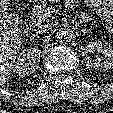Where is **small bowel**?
<instances>
[{"instance_id":"1","label":"small bowel","mask_w":113,"mask_h":113,"mask_svg":"<svg viewBox=\"0 0 113 113\" xmlns=\"http://www.w3.org/2000/svg\"><path fill=\"white\" fill-rule=\"evenodd\" d=\"M72 2H80L78 0H68ZM88 5L95 8L99 17L105 19L106 25L108 26L110 31H113V0H85ZM83 20H88L89 15L87 13H83L81 15Z\"/></svg>"}]
</instances>
